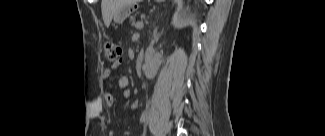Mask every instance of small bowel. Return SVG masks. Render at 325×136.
Listing matches in <instances>:
<instances>
[{
  "label": "small bowel",
  "mask_w": 325,
  "mask_h": 136,
  "mask_svg": "<svg viewBox=\"0 0 325 136\" xmlns=\"http://www.w3.org/2000/svg\"><path fill=\"white\" fill-rule=\"evenodd\" d=\"M120 65L119 62H115L112 65L113 69L118 68ZM112 77V70L107 69L103 73V79L109 80ZM118 87L123 95L124 98H130L131 96V90L129 88V78L125 75H122L117 80ZM104 102L107 106L111 107L115 104V97L112 93L106 92L104 94ZM138 106V103H133V107L136 108Z\"/></svg>",
  "instance_id": "obj_1"
}]
</instances>
